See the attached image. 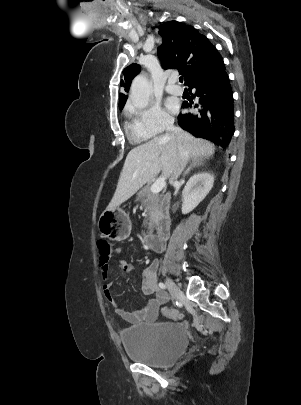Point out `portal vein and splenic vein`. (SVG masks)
I'll use <instances>...</instances> for the list:
<instances>
[{
  "mask_svg": "<svg viewBox=\"0 0 301 405\" xmlns=\"http://www.w3.org/2000/svg\"><path fill=\"white\" fill-rule=\"evenodd\" d=\"M165 180L166 178L164 176L160 177L159 179H157L152 186L150 187V190L153 193H158L160 192L164 187H165Z\"/></svg>",
  "mask_w": 301,
  "mask_h": 405,
  "instance_id": "1",
  "label": "portal vein and splenic vein"
}]
</instances>
